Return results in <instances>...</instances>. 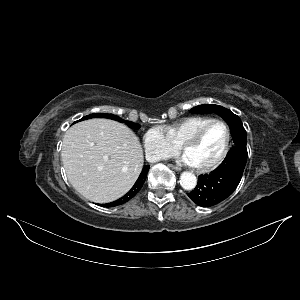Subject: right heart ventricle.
<instances>
[{"label": "right heart ventricle", "instance_id": "right-heart-ventricle-1", "mask_svg": "<svg viewBox=\"0 0 300 300\" xmlns=\"http://www.w3.org/2000/svg\"><path fill=\"white\" fill-rule=\"evenodd\" d=\"M213 120L210 117L192 116L186 117L174 123L164 125L161 128L176 146L182 144L200 127Z\"/></svg>", "mask_w": 300, "mask_h": 300}]
</instances>
